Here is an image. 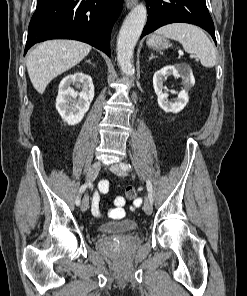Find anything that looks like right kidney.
I'll list each match as a JSON object with an SVG mask.
<instances>
[{
  "label": "right kidney",
  "mask_w": 247,
  "mask_h": 296,
  "mask_svg": "<svg viewBox=\"0 0 247 296\" xmlns=\"http://www.w3.org/2000/svg\"><path fill=\"white\" fill-rule=\"evenodd\" d=\"M71 85L81 92L75 91ZM94 98V85L91 76L82 72L67 75L59 84L56 98V109L64 122L76 125L81 122L85 113L89 110Z\"/></svg>",
  "instance_id": "1"
}]
</instances>
